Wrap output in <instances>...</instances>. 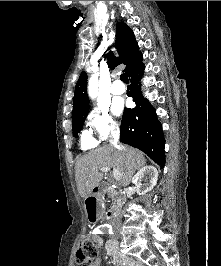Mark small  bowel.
I'll return each instance as SVG.
<instances>
[{
  "mask_svg": "<svg viewBox=\"0 0 221 266\" xmlns=\"http://www.w3.org/2000/svg\"><path fill=\"white\" fill-rule=\"evenodd\" d=\"M97 243L101 245V240L97 239ZM107 255L111 258L114 266H145L140 261H134L128 258L127 256L120 254L117 250H115L112 247L107 248ZM89 266H98V261Z\"/></svg>",
  "mask_w": 221,
  "mask_h": 266,
  "instance_id": "obj_1",
  "label": "small bowel"
}]
</instances>
